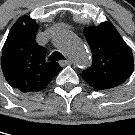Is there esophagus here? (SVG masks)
<instances>
[{
	"label": "esophagus",
	"instance_id": "esophagus-1",
	"mask_svg": "<svg viewBox=\"0 0 135 135\" xmlns=\"http://www.w3.org/2000/svg\"><path fill=\"white\" fill-rule=\"evenodd\" d=\"M71 63H72V61L70 59H66L65 61H60L59 62V64L61 66H66V65L71 64Z\"/></svg>",
	"mask_w": 135,
	"mask_h": 135
}]
</instances>
